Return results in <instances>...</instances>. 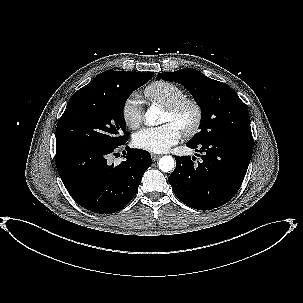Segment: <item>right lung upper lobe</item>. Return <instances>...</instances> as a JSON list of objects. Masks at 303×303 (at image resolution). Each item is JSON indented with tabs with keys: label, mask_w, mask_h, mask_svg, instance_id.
<instances>
[{
	"label": "right lung upper lobe",
	"mask_w": 303,
	"mask_h": 303,
	"mask_svg": "<svg viewBox=\"0 0 303 303\" xmlns=\"http://www.w3.org/2000/svg\"><path fill=\"white\" fill-rule=\"evenodd\" d=\"M138 73L135 72H126V71H105L103 73H100L97 75L89 84H87V87H94L102 84H108L113 82H118L122 79L128 78L132 75H135ZM153 75V73H152Z\"/></svg>",
	"instance_id": "cb5924a9"
}]
</instances>
